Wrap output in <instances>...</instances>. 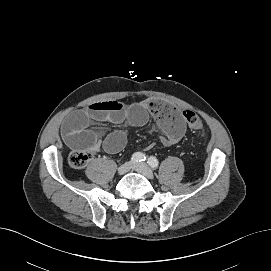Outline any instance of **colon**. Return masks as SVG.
<instances>
[{
	"mask_svg": "<svg viewBox=\"0 0 271 271\" xmlns=\"http://www.w3.org/2000/svg\"><path fill=\"white\" fill-rule=\"evenodd\" d=\"M188 126L193 131L203 134L205 129L201 118L191 110H184L182 113ZM92 158V153L87 150L73 151L69 156V163L77 169L84 168Z\"/></svg>",
	"mask_w": 271,
	"mask_h": 271,
	"instance_id": "1",
	"label": "colon"
}]
</instances>
